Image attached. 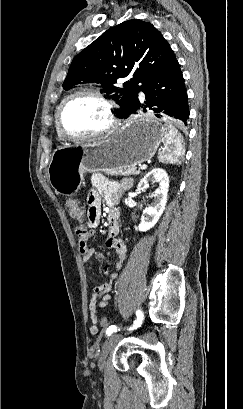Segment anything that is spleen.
Instances as JSON below:
<instances>
[{
    "mask_svg": "<svg viewBox=\"0 0 243 409\" xmlns=\"http://www.w3.org/2000/svg\"><path fill=\"white\" fill-rule=\"evenodd\" d=\"M164 149L159 152L158 159L162 163L181 164L185 154L183 139L178 130L169 122L164 124Z\"/></svg>",
    "mask_w": 243,
    "mask_h": 409,
    "instance_id": "3e777b00",
    "label": "spleen"
}]
</instances>
